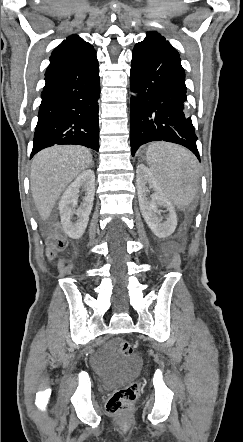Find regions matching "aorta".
<instances>
[{
	"instance_id": "aorta-1",
	"label": "aorta",
	"mask_w": 243,
	"mask_h": 442,
	"mask_svg": "<svg viewBox=\"0 0 243 442\" xmlns=\"http://www.w3.org/2000/svg\"><path fill=\"white\" fill-rule=\"evenodd\" d=\"M133 95L136 97L137 96V92L133 93Z\"/></svg>"
}]
</instances>
